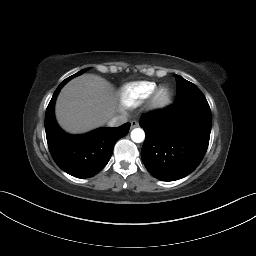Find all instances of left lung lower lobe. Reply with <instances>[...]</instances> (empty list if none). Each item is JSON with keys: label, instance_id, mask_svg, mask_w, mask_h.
<instances>
[{"label": "left lung lower lobe", "instance_id": "0a47b994", "mask_svg": "<svg viewBox=\"0 0 256 256\" xmlns=\"http://www.w3.org/2000/svg\"><path fill=\"white\" fill-rule=\"evenodd\" d=\"M146 133L141 157L157 179L174 181L192 173L209 144L211 110L206 98H194L147 114L140 121Z\"/></svg>", "mask_w": 256, "mask_h": 256}]
</instances>
